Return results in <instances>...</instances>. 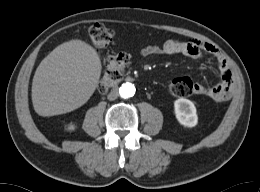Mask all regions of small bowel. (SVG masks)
Here are the masks:
<instances>
[{
	"instance_id": "1",
	"label": "small bowel",
	"mask_w": 260,
	"mask_h": 192,
	"mask_svg": "<svg viewBox=\"0 0 260 192\" xmlns=\"http://www.w3.org/2000/svg\"><path fill=\"white\" fill-rule=\"evenodd\" d=\"M139 54L142 57L152 55H174L181 54L192 59H201L205 54L210 55L217 63L221 80L214 86H204L194 83V94L207 96L215 101L228 100L233 92L234 79L232 71L219 50L210 43L198 40H175L166 41L162 46L149 45L143 47Z\"/></svg>"
}]
</instances>
